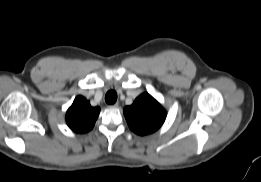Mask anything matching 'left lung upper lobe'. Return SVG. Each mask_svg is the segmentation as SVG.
<instances>
[{
    "label": "left lung upper lobe",
    "instance_id": "5c2ea615",
    "mask_svg": "<svg viewBox=\"0 0 261 182\" xmlns=\"http://www.w3.org/2000/svg\"><path fill=\"white\" fill-rule=\"evenodd\" d=\"M124 115L130 129L141 136L158 130L166 118L163 107L148 93L141 94L131 106L125 107Z\"/></svg>",
    "mask_w": 261,
    "mask_h": 182
}]
</instances>
